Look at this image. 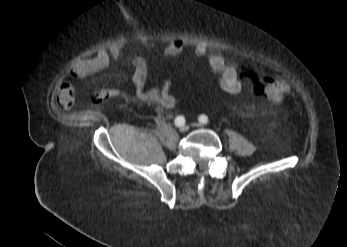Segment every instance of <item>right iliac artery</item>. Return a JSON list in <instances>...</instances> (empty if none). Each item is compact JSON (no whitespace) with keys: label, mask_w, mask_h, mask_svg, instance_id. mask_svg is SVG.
Segmentation results:
<instances>
[{"label":"right iliac artery","mask_w":347,"mask_h":247,"mask_svg":"<svg viewBox=\"0 0 347 247\" xmlns=\"http://www.w3.org/2000/svg\"><path fill=\"white\" fill-rule=\"evenodd\" d=\"M175 125L178 127L184 126L185 125V118L184 116H177L175 118Z\"/></svg>","instance_id":"obj_1"}]
</instances>
